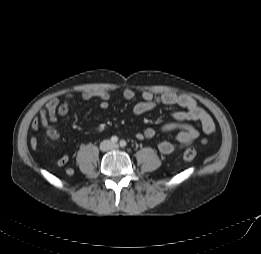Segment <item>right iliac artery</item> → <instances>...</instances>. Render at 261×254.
I'll return each instance as SVG.
<instances>
[{"mask_svg":"<svg viewBox=\"0 0 261 254\" xmlns=\"http://www.w3.org/2000/svg\"><path fill=\"white\" fill-rule=\"evenodd\" d=\"M111 142L112 143H117L118 142V138L116 136H112L111 137Z\"/></svg>","mask_w":261,"mask_h":254,"instance_id":"1","label":"right iliac artery"}]
</instances>
